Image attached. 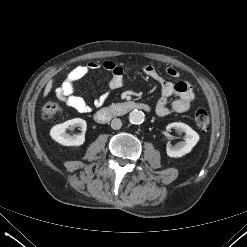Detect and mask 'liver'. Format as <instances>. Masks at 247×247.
<instances>
[{"label": "liver", "mask_w": 247, "mask_h": 247, "mask_svg": "<svg viewBox=\"0 0 247 247\" xmlns=\"http://www.w3.org/2000/svg\"><path fill=\"white\" fill-rule=\"evenodd\" d=\"M51 88H52V80H49L45 87L44 93H43L44 97H46L49 94V92L51 91Z\"/></svg>", "instance_id": "obj_1"}]
</instances>
